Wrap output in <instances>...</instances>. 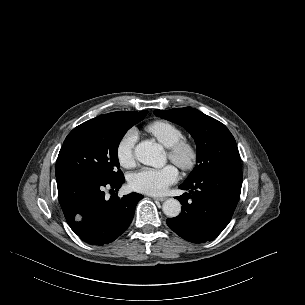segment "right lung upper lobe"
Here are the masks:
<instances>
[{"label": "right lung upper lobe", "instance_id": "right-lung-upper-lobe-1", "mask_svg": "<svg viewBox=\"0 0 305 305\" xmlns=\"http://www.w3.org/2000/svg\"><path fill=\"white\" fill-rule=\"evenodd\" d=\"M140 113L141 112H135V111H133V112H113V113L104 114V115L127 119V118H131L135 115H139Z\"/></svg>", "mask_w": 305, "mask_h": 305}]
</instances>
